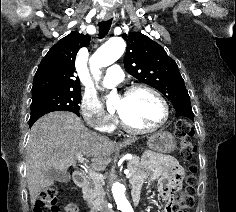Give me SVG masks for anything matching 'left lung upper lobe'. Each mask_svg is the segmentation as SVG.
<instances>
[{
  "mask_svg": "<svg viewBox=\"0 0 236 212\" xmlns=\"http://www.w3.org/2000/svg\"><path fill=\"white\" fill-rule=\"evenodd\" d=\"M122 37L127 43L124 57L126 71L160 91L172 102L175 110L179 105H190L178 66L164 48L140 32H129Z\"/></svg>",
  "mask_w": 236,
  "mask_h": 212,
  "instance_id": "5c2ea615",
  "label": "left lung upper lobe"
}]
</instances>
